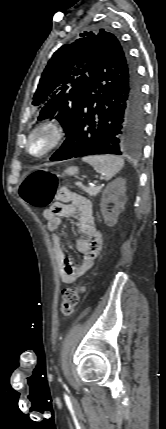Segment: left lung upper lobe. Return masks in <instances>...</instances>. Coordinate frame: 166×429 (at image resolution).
<instances>
[{
    "mask_svg": "<svg viewBox=\"0 0 166 429\" xmlns=\"http://www.w3.org/2000/svg\"><path fill=\"white\" fill-rule=\"evenodd\" d=\"M99 32L80 34L72 44L63 45L52 56L40 78L32 104L41 108L38 120L57 119L67 133L75 117L90 69Z\"/></svg>",
    "mask_w": 166,
    "mask_h": 429,
    "instance_id": "obj_1",
    "label": "left lung upper lobe"
}]
</instances>
